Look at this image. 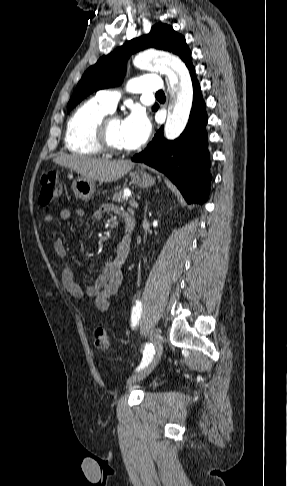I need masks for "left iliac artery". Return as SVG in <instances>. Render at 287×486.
I'll list each match as a JSON object with an SVG mask.
<instances>
[{
    "instance_id": "1",
    "label": "left iliac artery",
    "mask_w": 287,
    "mask_h": 486,
    "mask_svg": "<svg viewBox=\"0 0 287 486\" xmlns=\"http://www.w3.org/2000/svg\"><path fill=\"white\" fill-rule=\"evenodd\" d=\"M142 313V303L141 301L137 300L135 306L132 309L131 313V326L135 327L139 319L141 317ZM155 354L154 347L151 343H146L145 348H144V353H143V359L136 371H140L141 369L145 368L148 366V364L151 362L153 356Z\"/></svg>"
}]
</instances>
